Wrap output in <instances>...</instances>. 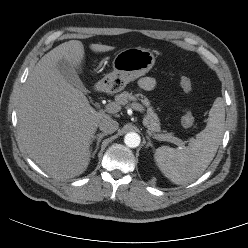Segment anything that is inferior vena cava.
Instances as JSON below:
<instances>
[{"label":"inferior vena cava","mask_w":248,"mask_h":248,"mask_svg":"<svg viewBox=\"0 0 248 248\" xmlns=\"http://www.w3.org/2000/svg\"><path fill=\"white\" fill-rule=\"evenodd\" d=\"M99 129L105 133V134H112L114 133L118 127L119 124L117 121L113 120L110 117L104 118L99 122Z\"/></svg>","instance_id":"602c4592"}]
</instances>
